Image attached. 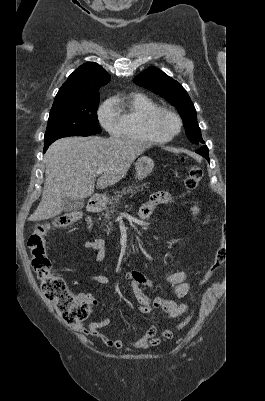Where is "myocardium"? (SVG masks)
Wrapping results in <instances>:
<instances>
[{
    "label": "myocardium",
    "mask_w": 265,
    "mask_h": 401,
    "mask_svg": "<svg viewBox=\"0 0 265 401\" xmlns=\"http://www.w3.org/2000/svg\"><path fill=\"white\" fill-rule=\"evenodd\" d=\"M163 115L173 118L178 124V129H177L176 133H174L172 136H170L166 139H159L155 134V123H156L157 119ZM146 127H147L148 132L152 135L154 142L166 143L180 135V133L182 132V129H183V121H182V118L177 113H175L167 108L158 107L157 109L151 111L148 114V116L146 118Z\"/></svg>",
    "instance_id": "1"
}]
</instances>
